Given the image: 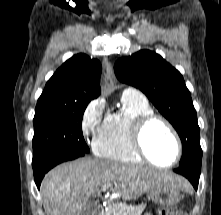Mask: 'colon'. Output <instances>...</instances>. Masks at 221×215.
Wrapping results in <instances>:
<instances>
[{"mask_svg":"<svg viewBox=\"0 0 221 215\" xmlns=\"http://www.w3.org/2000/svg\"><path fill=\"white\" fill-rule=\"evenodd\" d=\"M158 215H185L178 207L164 208L158 211Z\"/></svg>","mask_w":221,"mask_h":215,"instance_id":"obj_1","label":"colon"}]
</instances>
